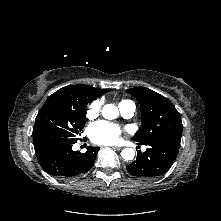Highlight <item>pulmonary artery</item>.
I'll use <instances>...</instances> for the list:
<instances>
[{
	"mask_svg": "<svg viewBox=\"0 0 221 221\" xmlns=\"http://www.w3.org/2000/svg\"><path fill=\"white\" fill-rule=\"evenodd\" d=\"M119 108H120L122 115L126 118L132 117L134 115L135 109H136L135 104L131 101L119 106ZM143 149H145V147H143Z\"/></svg>",
	"mask_w": 221,
	"mask_h": 221,
	"instance_id": "pulmonary-artery-1",
	"label": "pulmonary artery"
}]
</instances>
